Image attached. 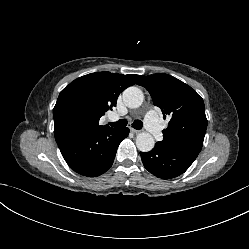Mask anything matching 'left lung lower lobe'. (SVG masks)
<instances>
[{"label": "left lung lower lobe", "instance_id": "0a47b994", "mask_svg": "<svg viewBox=\"0 0 249 249\" xmlns=\"http://www.w3.org/2000/svg\"><path fill=\"white\" fill-rule=\"evenodd\" d=\"M144 167L162 179H171L184 173L198 156L181 148H165L156 144L150 152H140Z\"/></svg>", "mask_w": 249, "mask_h": 249}]
</instances>
